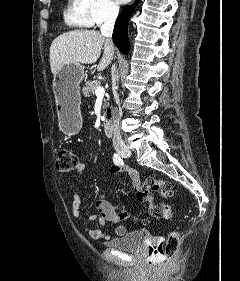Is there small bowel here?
Wrapping results in <instances>:
<instances>
[{
	"label": "small bowel",
	"mask_w": 240,
	"mask_h": 281,
	"mask_svg": "<svg viewBox=\"0 0 240 281\" xmlns=\"http://www.w3.org/2000/svg\"><path fill=\"white\" fill-rule=\"evenodd\" d=\"M75 170L78 174H83L86 170V165L83 162H79ZM110 172L111 174L127 172L131 179L132 185L136 190L141 184L138 172L132 168L114 165L111 167ZM95 206L97 214L89 216L87 221L97 220L98 224L96 226H91L89 224L84 225V231L88 236H90L92 239L106 238L107 236L102 231V227L106 222H111L115 225L116 235L123 236L126 234L127 226L117 215L114 206L106 199L105 194H101L98 197ZM71 213L74 218L80 219L82 217L81 198L78 192H74L73 194Z\"/></svg>",
	"instance_id": "small-bowel-1"
}]
</instances>
